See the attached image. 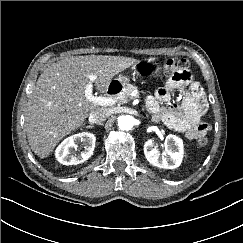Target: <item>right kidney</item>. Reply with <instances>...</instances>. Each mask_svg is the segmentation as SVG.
I'll return each mask as SVG.
<instances>
[{
  "label": "right kidney",
  "mask_w": 243,
  "mask_h": 243,
  "mask_svg": "<svg viewBox=\"0 0 243 243\" xmlns=\"http://www.w3.org/2000/svg\"><path fill=\"white\" fill-rule=\"evenodd\" d=\"M96 137L92 133L83 132L72 135L66 138L57 147L55 155L57 160L64 165H77L88 160L94 151ZM81 144L83 150L80 153H75L78 145Z\"/></svg>",
  "instance_id": "ca27d5eb"
}]
</instances>
